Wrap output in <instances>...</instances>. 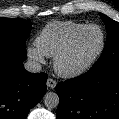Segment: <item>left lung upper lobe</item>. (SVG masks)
Listing matches in <instances>:
<instances>
[{
	"instance_id": "obj_1",
	"label": "left lung upper lobe",
	"mask_w": 119,
	"mask_h": 119,
	"mask_svg": "<svg viewBox=\"0 0 119 119\" xmlns=\"http://www.w3.org/2000/svg\"><path fill=\"white\" fill-rule=\"evenodd\" d=\"M107 29V39L102 55L92 66L95 70H103L119 62V23L100 13Z\"/></svg>"
}]
</instances>
